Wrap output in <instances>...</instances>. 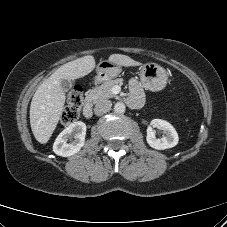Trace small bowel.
<instances>
[{
	"mask_svg": "<svg viewBox=\"0 0 227 227\" xmlns=\"http://www.w3.org/2000/svg\"><path fill=\"white\" fill-rule=\"evenodd\" d=\"M144 100V95L142 88L137 80H132L130 82V96L128 98V103L133 107H139L142 105Z\"/></svg>",
	"mask_w": 227,
	"mask_h": 227,
	"instance_id": "c3829d8e",
	"label": "small bowel"
}]
</instances>
